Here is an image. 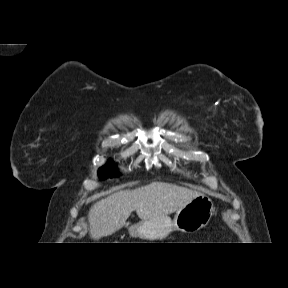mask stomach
<instances>
[{
    "label": "stomach",
    "mask_w": 288,
    "mask_h": 288,
    "mask_svg": "<svg viewBox=\"0 0 288 288\" xmlns=\"http://www.w3.org/2000/svg\"><path fill=\"white\" fill-rule=\"evenodd\" d=\"M213 212L212 200L206 195L199 194L178 209L173 220L169 216H162L141 221L129 228V234L142 240L155 241L165 239L173 231L195 232L209 223Z\"/></svg>",
    "instance_id": "stomach-1"
}]
</instances>
